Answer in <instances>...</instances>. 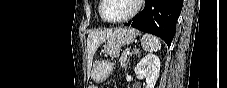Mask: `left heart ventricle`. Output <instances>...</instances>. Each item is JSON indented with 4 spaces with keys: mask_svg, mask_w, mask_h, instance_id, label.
Returning <instances> with one entry per match:
<instances>
[{
    "mask_svg": "<svg viewBox=\"0 0 227 88\" xmlns=\"http://www.w3.org/2000/svg\"><path fill=\"white\" fill-rule=\"evenodd\" d=\"M134 6V0H107L103 14L110 20L120 19L128 15Z\"/></svg>",
    "mask_w": 227,
    "mask_h": 88,
    "instance_id": "left-heart-ventricle-1",
    "label": "left heart ventricle"
}]
</instances>
